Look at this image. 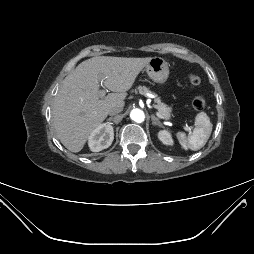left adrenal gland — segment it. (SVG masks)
<instances>
[{
	"mask_svg": "<svg viewBox=\"0 0 254 254\" xmlns=\"http://www.w3.org/2000/svg\"><path fill=\"white\" fill-rule=\"evenodd\" d=\"M151 119H152V124L154 126L158 125L159 127H163L159 119L154 114L151 115Z\"/></svg>",
	"mask_w": 254,
	"mask_h": 254,
	"instance_id": "a2214340",
	"label": "left adrenal gland"
}]
</instances>
